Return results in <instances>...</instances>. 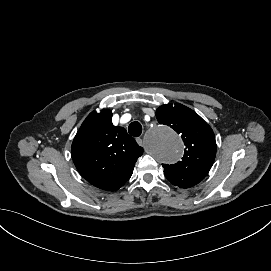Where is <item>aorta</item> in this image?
<instances>
[{
  "instance_id": "obj_1",
  "label": "aorta",
  "mask_w": 271,
  "mask_h": 271,
  "mask_svg": "<svg viewBox=\"0 0 271 271\" xmlns=\"http://www.w3.org/2000/svg\"><path fill=\"white\" fill-rule=\"evenodd\" d=\"M146 146L155 159L164 163H176L184 153L182 140L167 126L150 131L146 136Z\"/></svg>"
}]
</instances>
